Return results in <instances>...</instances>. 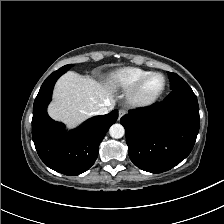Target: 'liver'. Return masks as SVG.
<instances>
[{
    "mask_svg": "<svg viewBox=\"0 0 224 224\" xmlns=\"http://www.w3.org/2000/svg\"><path fill=\"white\" fill-rule=\"evenodd\" d=\"M114 82H99L75 72H67L57 82L54 101L48 108L49 115L64 122L69 128L76 127L101 107L115 104Z\"/></svg>",
    "mask_w": 224,
    "mask_h": 224,
    "instance_id": "liver-1",
    "label": "liver"
}]
</instances>
